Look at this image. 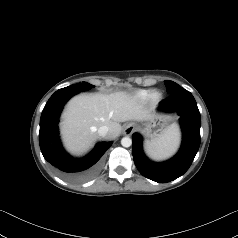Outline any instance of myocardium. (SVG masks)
I'll return each instance as SVG.
<instances>
[{
	"label": "myocardium",
	"instance_id": "myocardium-1",
	"mask_svg": "<svg viewBox=\"0 0 238 238\" xmlns=\"http://www.w3.org/2000/svg\"><path fill=\"white\" fill-rule=\"evenodd\" d=\"M162 93L160 91H153L149 97L152 103H159L162 100Z\"/></svg>",
	"mask_w": 238,
	"mask_h": 238
}]
</instances>
